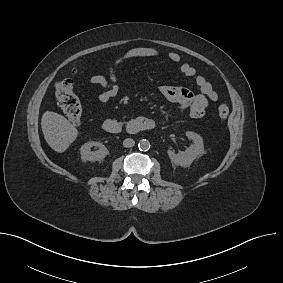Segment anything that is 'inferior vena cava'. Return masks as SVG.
Returning a JSON list of instances; mask_svg holds the SVG:
<instances>
[{"label": "inferior vena cava", "mask_w": 283, "mask_h": 283, "mask_svg": "<svg viewBox=\"0 0 283 283\" xmlns=\"http://www.w3.org/2000/svg\"><path fill=\"white\" fill-rule=\"evenodd\" d=\"M135 145V141L131 138H127L123 141V146L126 148H131Z\"/></svg>", "instance_id": "602c4592"}]
</instances>
